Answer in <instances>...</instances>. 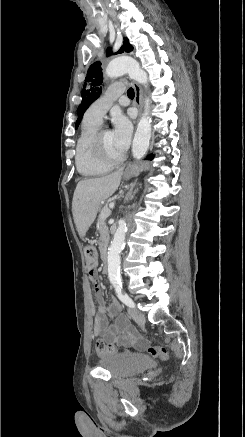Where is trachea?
Returning a JSON list of instances; mask_svg holds the SVG:
<instances>
[{
  "label": "trachea",
  "mask_w": 245,
  "mask_h": 437,
  "mask_svg": "<svg viewBox=\"0 0 245 437\" xmlns=\"http://www.w3.org/2000/svg\"><path fill=\"white\" fill-rule=\"evenodd\" d=\"M127 95H128L129 97H134L135 93H134L133 88L128 89V91H127Z\"/></svg>",
  "instance_id": "obj_1"
}]
</instances>
